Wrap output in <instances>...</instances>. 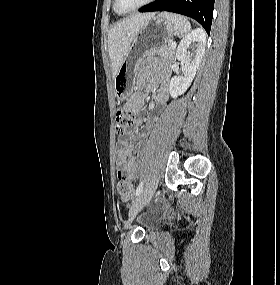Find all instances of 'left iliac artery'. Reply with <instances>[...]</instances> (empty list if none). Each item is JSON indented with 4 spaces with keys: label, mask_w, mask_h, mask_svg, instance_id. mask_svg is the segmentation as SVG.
<instances>
[{
    "label": "left iliac artery",
    "mask_w": 280,
    "mask_h": 285,
    "mask_svg": "<svg viewBox=\"0 0 280 285\" xmlns=\"http://www.w3.org/2000/svg\"><path fill=\"white\" fill-rule=\"evenodd\" d=\"M143 185H144V182L141 181L136 189V192H135V195L138 196L141 192H142V189H143Z\"/></svg>",
    "instance_id": "1"
}]
</instances>
